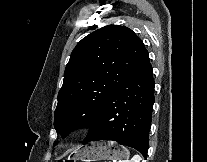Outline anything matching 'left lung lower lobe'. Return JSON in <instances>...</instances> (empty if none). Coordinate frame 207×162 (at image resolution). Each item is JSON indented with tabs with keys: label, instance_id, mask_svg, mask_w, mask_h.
<instances>
[{
	"label": "left lung lower lobe",
	"instance_id": "left-lung-lower-lobe-1",
	"mask_svg": "<svg viewBox=\"0 0 207 162\" xmlns=\"http://www.w3.org/2000/svg\"><path fill=\"white\" fill-rule=\"evenodd\" d=\"M154 104V80L148 54L108 98L83 143L111 140L147 157Z\"/></svg>",
	"mask_w": 207,
	"mask_h": 162
}]
</instances>
